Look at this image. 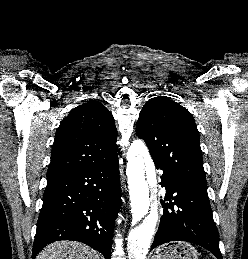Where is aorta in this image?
Wrapping results in <instances>:
<instances>
[{"label": "aorta", "mask_w": 248, "mask_h": 259, "mask_svg": "<svg viewBox=\"0 0 248 259\" xmlns=\"http://www.w3.org/2000/svg\"><path fill=\"white\" fill-rule=\"evenodd\" d=\"M127 160L130 206L135 224L129 233L128 259H145L159 217L158 204L154 199V188L157 183L155 166L142 140L132 142Z\"/></svg>", "instance_id": "aorta-1"}]
</instances>
